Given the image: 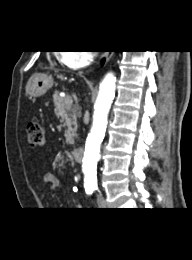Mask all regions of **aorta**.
Wrapping results in <instances>:
<instances>
[{"label":"aorta","instance_id":"762f6f07","mask_svg":"<svg viewBox=\"0 0 192 260\" xmlns=\"http://www.w3.org/2000/svg\"><path fill=\"white\" fill-rule=\"evenodd\" d=\"M115 88L116 77L113 73H108L99 86L93 123L85 145L82 164L85 184H95L97 182L96 168L100 160V146L105 135L108 113L115 96Z\"/></svg>","mask_w":192,"mask_h":260}]
</instances>
